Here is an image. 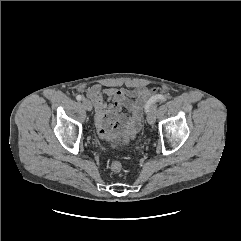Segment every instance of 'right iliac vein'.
<instances>
[{"instance_id":"1","label":"right iliac vein","mask_w":241,"mask_h":241,"mask_svg":"<svg viewBox=\"0 0 241 241\" xmlns=\"http://www.w3.org/2000/svg\"><path fill=\"white\" fill-rule=\"evenodd\" d=\"M82 104H83L84 108H85L87 111H91V110H92V103H91L90 100L84 98V99L82 100Z\"/></svg>"}]
</instances>
